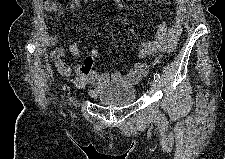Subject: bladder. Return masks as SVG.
I'll list each match as a JSON object with an SVG mask.
<instances>
[{
    "label": "bladder",
    "mask_w": 225,
    "mask_h": 159,
    "mask_svg": "<svg viewBox=\"0 0 225 159\" xmlns=\"http://www.w3.org/2000/svg\"><path fill=\"white\" fill-rule=\"evenodd\" d=\"M97 101L107 106H125L136 100V89L131 85L110 84L97 94Z\"/></svg>",
    "instance_id": "1"
}]
</instances>
